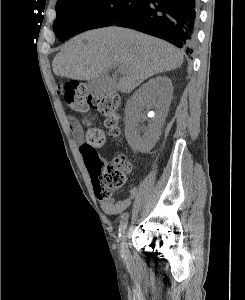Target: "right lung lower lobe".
<instances>
[{
    "label": "right lung lower lobe",
    "mask_w": 245,
    "mask_h": 300,
    "mask_svg": "<svg viewBox=\"0 0 245 300\" xmlns=\"http://www.w3.org/2000/svg\"><path fill=\"white\" fill-rule=\"evenodd\" d=\"M197 13L198 0H147L115 25L164 39L191 54Z\"/></svg>",
    "instance_id": "98d812e1"
}]
</instances>
